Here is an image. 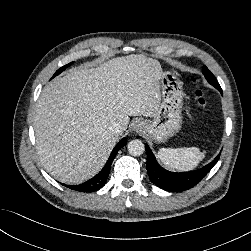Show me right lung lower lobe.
<instances>
[{"mask_svg": "<svg viewBox=\"0 0 251 251\" xmlns=\"http://www.w3.org/2000/svg\"><path fill=\"white\" fill-rule=\"evenodd\" d=\"M127 143L126 138H123L112 150L111 155L107 161V163L105 164V166L103 167V169L93 178H91L90 180L79 184V185H65L64 186L72 189V190H76V191H80V192H94L99 190L100 188H102L108 179V175L111 169V165L112 162L117 154V152L120 150L121 147H123L125 144Z\"/></svg>", "mask_w": 251, "mask_h": 251, "instance_id": "obj_1", "label": "right lung lower lobe"}]
</instances>
